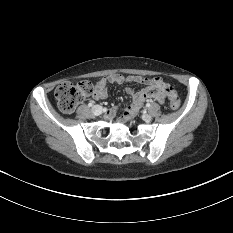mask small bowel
I'll list each match as a JSON object with an SVG mask.
<instances>
[{
	"label": "small bowel",
	"instance_id": "c3829d8e",
	"mask_svg": "<svg viewBox=\"0 0 233 233\" xmlns=\"http://www.w3.org/2000/svg\"><path fill=\"white\" fill-rule=\"evenodd\" d=\"M124 83H138L143 84L144 88L140 91H134L132 88L127 87L126 93L131 97L132 101L129 106L124 109V120L132 119L140 110L143 103L148 99H155L163 104L166 97L172 96L175 92L161 77L146 78L139 75L124 76L121 74H110L95 84L92 97L95 100H104L107 98V85L108 84H124ZM115 110L108 111V116L112 117Z\"/></svg>",
	"mask_w": 233,
	"mask_h": 233
}]
</instances>
